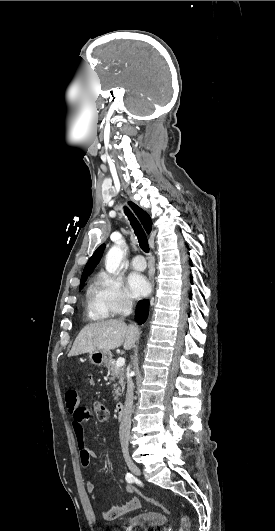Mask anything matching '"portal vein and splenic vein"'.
I'll use <instances>...</instances> for the list:
<instances>
[{"mask_svg": "<svg viewBox=\"0 0 275 531\" xmlns=\"http://www.w3.org/2000/svg\"><path fill=\"white\" fill-rule=\"evenodd\" d=\"M116 365L117 367H123V365H125V359H123V357H119V359L116 361Z\"/></svg>", "mask_w": 275, "mask_h": 531, "instance_id": "1", "label": "portal vein and splenic vein"}]
</instances>
